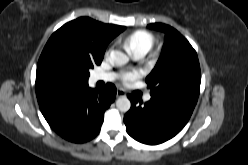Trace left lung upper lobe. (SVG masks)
Returning a JSON list of instances; mask_svg holds the SVG:
<instances>
[{"mask_svg": "<svg viewBox=\"0 0 248 165\" xmlns=\"http://www.w3.org/2000/svg\"><path fill=\"white\" fill-rule=\"evenodd\" d=\"M148 27L166 34L159 60L146 78L151 97L195 106L201 82L196 51L188 40L171 26L153 23Z\"/></svg>", "mask_w": 248, "mask_h": 165, "instance_id": "obj_1", "label": "left lung upper lobe"}]
</instances>
